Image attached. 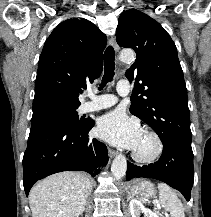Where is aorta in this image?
<instances>
[{
	"mask_svg": "<svg viewBox=\"0 0 211 217\" xmlns=\"http://www.w3.org/2000/svg\"><path fill=\"white\" fill-rule=\"evenodd\" d=\"M119 59L125 63H133L135 61V53L132 50H123L120 53ZM126 170V158L124 155L118 154L112 162L111 172L117 180H120L126 174Z\"/></svg>",
	"mask_w": 211,
	"mask_h": 217,
	"instance_id": "aorta-1",
	"label": "aorta"
}]
</instances>
